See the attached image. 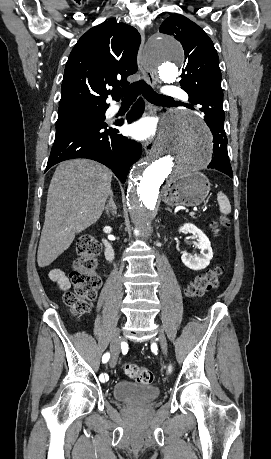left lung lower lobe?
<instances>
[{
  "instance_id": "0a47b994",
  "label": "left lung lower lobe",
  "mask_w": 271,
  "mask_h": 459,
  "mask_svg": "<svg viewBox=\"0 0 271 459\" xmlns=\"http://www.w3.org/2000/svg\"><path fill=\"white\" fill-rule=\"evenodd\" d=\"M189 108L194 109L193 107ZM204 117V121L212 132L214 142V157L208 165V168H215L233 178V173L227 152V136L224 130L225 115L207 113Z\"/></svg>"
}]
</instances>
